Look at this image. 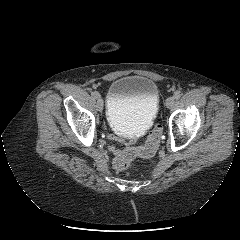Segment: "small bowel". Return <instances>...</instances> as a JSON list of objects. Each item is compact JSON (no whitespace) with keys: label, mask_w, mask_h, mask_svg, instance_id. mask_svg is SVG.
Returning a JSON list of instances; mask_svg holds the SVG:
<instances>
[{"label":"small bowel","mask_w":240,"mask_h":240,"mask_svg":"<svg viewBox=\"0 0 240 240\" xmlns=\"http://www.w3.org/2000/svg\"><path fill=\"white\" fill-rule=\"evenodd\" d=\"M101 125L104 126L103 127V130H104V133L107 135V137L109 139H111L112 141H115V142H119L120 144H124L125 143V140L122 139V138H118L117 136H114L110 133L109 129L106 125V120L105 119H102L101 120ZM109 150L114 154V155H118L122 150L114 147V146H110L109 147Z\"/></svg>","instance_id":"obj_1"}]
</instances>
